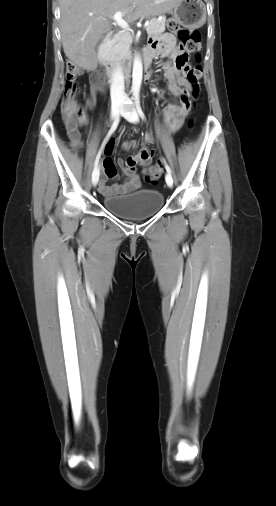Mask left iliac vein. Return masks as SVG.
Listing matches in <instances>:
<instances>
[{"label":"left iliac vein","instance_id":"left-iliac-vein-1","mask_svg":"<svg viewBox=\"0 0 276 506\" xmlns=\"http://www.w3.org/2000/svg\"><path fill=\"white\" fill-rule=\"evenodd\" d=\"M130 110L127 111V110H123L122 111V115L129 121V122H132V123H137L138 120H139V117H138V113L136 111V109L134 108V106L132 105L131 101H130ZM166 183L169 187H172L173 186V178L171 176V174H166Z\"/></svg>","mask_w":276,"mask_h":506}]
</instances>
